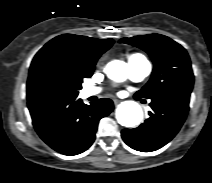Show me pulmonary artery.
Masks as SVG:
<instances>
[{
	"label": "pulmonary artery",
	"instance_id": "pulmonary-artery-1",
	"mask_svg": "<svg viewBox=\"0 0 212 183\" xmlns=\"http://www.w3.org/2000/svg\"><path fill=\"white\" fill-rule=\"evenodd\" d=\"M151 63L143 56H137L128 60V72L131 80L140 82L151 72ZM100 88L86 87L83 89V96L90 97L100 93Z\"/></svg>",
	"mask_w": 212,
	"mask_h": 183
}]
</instances>
